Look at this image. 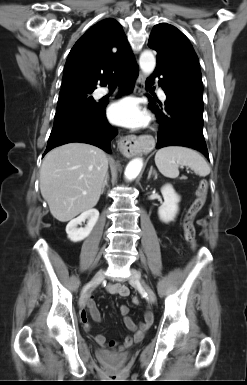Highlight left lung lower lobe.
I'll list each match as a JSON object with an SVG mask.
<instances>
[{"mask_svg": "<svg viewBox=\"0 0 247 385\" xmlns=\"http://www.w3.org/2000/svg\"><path fill=\"white\" fill-rule=\"evenodd\" d=\"M161 77L159 85L166 94L164 107L155 99L149 97V108L156 114L160 131L156 147L185 146L196 149L209 157L203 136V98L190 91L176 76L161 64L152 77ZM153 81L148 78L146 86L151 87ZM159 103L160 107L154 106Z\"/></svg>", "mask_w": 247, "mask_h": 385, "instance_id": "0a47b994", "label": "left lung lower lobe"}]
</instances>
